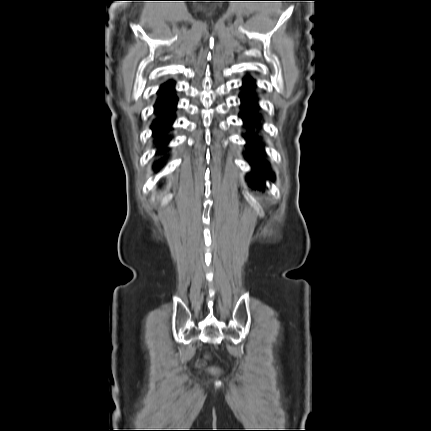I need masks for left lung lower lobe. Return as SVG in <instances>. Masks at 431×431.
<instances>
[{
	"instance_id": "0a47b994",
	"label": "left lung lower lobe",
	"mask_w": 431,
	"mask_h": 431,
	"mask_svg": "<svg viewBox=\"0 0 431 431\" xmlns=\"http://www.w3.org/2000/svg\"><path fill=\"white\" fill-rule=\"evenodd\" d=\"M254 81L247 77L243 81L242 94L240 95L242 115L241 119L247 132L243 135L247 144V151L244 153L252 171L249 179V186L253 189H262L266 185V180L271 177L269 163L264 158V145L258 136L261 116L257 112V98L253 92Z\"/></svg>"
}]
</instances>
